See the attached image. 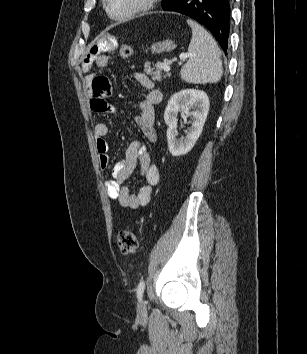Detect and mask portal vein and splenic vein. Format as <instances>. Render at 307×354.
I'll use <instances>...</instances> for the list:
<instances>
[{
    "instance_id": "1",
    "label": "portal vein and splenic vein",
    "mask_w": 307,
    "mask_h": 354,
    "mask_svg": "<svg viewBox=\"0 0 307 354\" xmlns=\"http://www.w3.org/2000/svg\"><path fill=\"white\" fill-rule=\"evenodd\" d=\"M189 57V55H180V60L181 61H185L187 58ZM172 64L171 60H167L164 63H162V67L166 72L170 71V65Z\"/></svg>"
}]
</instances>
